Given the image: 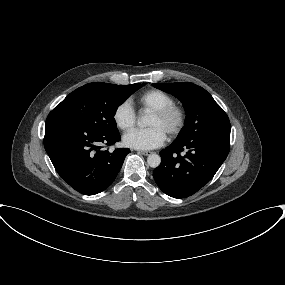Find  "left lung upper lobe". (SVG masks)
<instances>
[{
    "instance_id": "left-lung-upper-lobe-1",
    "label": "left lung upper lobe",
    "mask_w": 285,
    "mask_h": 285,
    "mask_svg": "<svg viewBox=\"0 0 285 285\" xmlns=\"http://www.w3.org/2000/svg\"><path fill=\"white\" fill-rule=\"evenodd\" d=\"M154 87L182 101L186 118L176 141L202 136L230 138V121L223 109L202 87L192 83H153Z\"/></svg>"
}]
</instances>
